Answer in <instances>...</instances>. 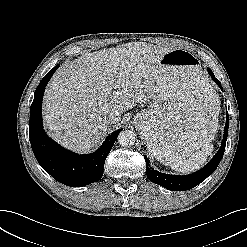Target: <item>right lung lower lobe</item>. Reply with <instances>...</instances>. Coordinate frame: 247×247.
Returning a JSON list of instances; mask_svg holds the SVG:
<instances>
[{
    "mask_svg": "<svg viewBox=\"0 0 247 247\" xmlns=\"http://www.w3.org/2000/svg\"><path fill=\"white\" fill-rule=\"evenodd\" d=\"M58 67L59 64L41 80L35 91L30 109V142L38 163L46 172L60 183L80 187L101 179L105 159L122 129L111 133L96 152L86 155L66 150L50 139L43 129L41 106L45 87Z\"/></svg>",
    "mask_w": 247,
    "mask_h": 247,
    "instance_id": "right-lung-lower-lobe-1",
    "label": "right lung lower lobe"
}]
</instances>
